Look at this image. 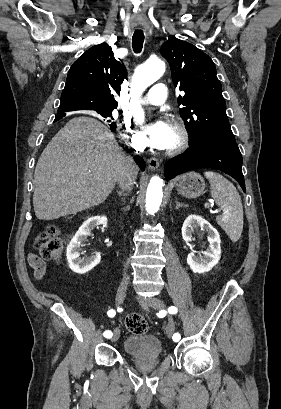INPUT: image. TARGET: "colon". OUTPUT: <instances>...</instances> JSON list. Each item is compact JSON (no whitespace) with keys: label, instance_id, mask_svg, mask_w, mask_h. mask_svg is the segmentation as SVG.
<instances>
[{"label":"colon","instance_id":"1","mask_svg":"<svg viewBox=\"0 0 281 409\" xmlns=\"http://www.w3.org/2000/svg\"><path fill=\"white\" fill-rule=\"evenodd\" d=\"M39 255H45V260H57L62 251V240L59 238V229L54 225L44 227L35 240ZM43 277V276H38ZM125 326L132 332L141 334L148 329V323L142 314L133 312L127 315Z\"/></svg>","mask_w":281,"mask_h":409}]
</instances>
